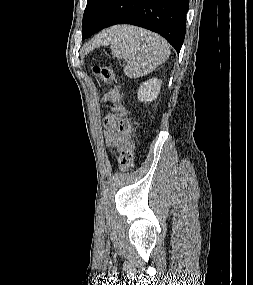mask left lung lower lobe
I'll return each instance as SVG.
<instances>
[{"label":"left lung lower lobe","instance_id":"left-lung-lower-lobe-1","mask_svg":"<svg viewBox=\"0 0 253 285\" xmlns=\"http://www.w3.org/2000/svg\"><path fill=\"white\" fill-rule=\"evenodd\" d=\"M188 8V0H111L86 38L115 24H132L159 33L179 53Z\"/></svg>","mask_w":253,"mask_h":285}]
</instances>
